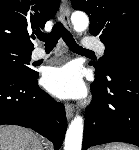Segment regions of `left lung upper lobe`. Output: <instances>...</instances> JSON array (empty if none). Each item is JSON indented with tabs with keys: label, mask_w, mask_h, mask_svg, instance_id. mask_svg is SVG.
I'll use <instances>...</instances> for the list:
<instances>
[{
	"label": "left lung upper lobe",
	"mask_w": 139,
	"mask_h": 150,
	"mask_svg": "<svg viewBox=\"0 0 139 150\" xmlns=\"http://www.w3.org/2000/svg\"><path fill=\"white\" fill-rule=\"evenodd\" d=\"M76 10L90 18L89 31L106 46L103 60L93 64L106 75L113 59L139 44V0H71Z\"/></svg>",
	"instance_id": "left-lung-upper-lobe-1"
}]
</instances>
